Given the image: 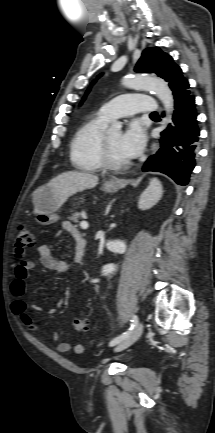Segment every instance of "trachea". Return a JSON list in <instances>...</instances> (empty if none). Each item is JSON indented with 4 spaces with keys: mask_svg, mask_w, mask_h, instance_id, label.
<instances>
[{
    "mask_svg": "<svg viewBox=\"0 0 215 433\" xmlns=\"http://www.w3.org/2000/svg\"><path fill=\"white\" fill-rule=\"evenodd\" d=\"M155 115H158V114L156 112L151 114V116H155Z\"/></svg>",
    "mask_w": 215,
    "mask_h": 433,
    "instance_id": "obj_1",
    "label": "trachea"
}]
</instances>
